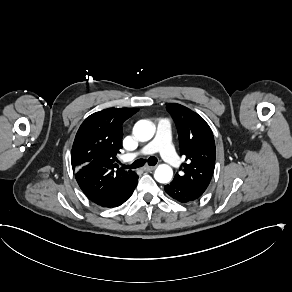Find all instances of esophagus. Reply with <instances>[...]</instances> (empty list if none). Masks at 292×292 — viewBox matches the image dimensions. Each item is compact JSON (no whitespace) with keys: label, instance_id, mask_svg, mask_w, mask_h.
<instances>
[{"label":"esophagus","instance_id":"obj_1","mask_svg":"<svg viewBox=\"0 0 292 292\" xmlns=\"http://www.w3.org/2000/svg\"><path fill=\"white\" fill-rule=\"evenodd\" d=\"M156 168V166H144L142 169L145 171V172H148V171H152Z\"/></svg>","mask_w":292,"mask_h":292}]
</instances>
